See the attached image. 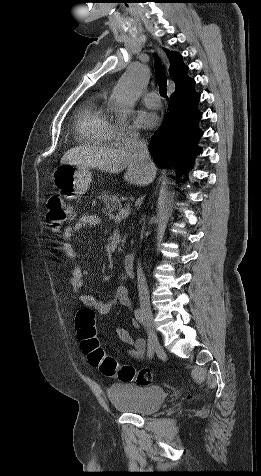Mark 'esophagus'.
<instances>
[{
    "label": "esophagus",
    "instance_id": "1",
    "mask_svg": "<svg viewBox=\"0 0 261 476\" xmlns=\"http://www.w3.org/2000/svg\"><path fill=\"white\" fill-rule=\"evenodd\" d=\"M161 57H162V60H163V62H164V64H165L166 68L169 69V67H170V62H169L168 57H167L166 55H164V54H161Z\"/></svg>",
    "mask_w": 261,
    "mask_h": 476
}]
</instances>
